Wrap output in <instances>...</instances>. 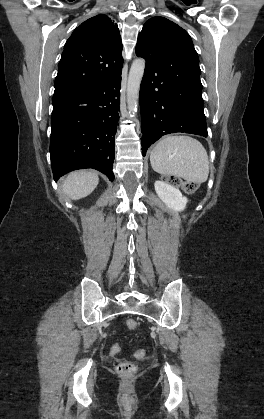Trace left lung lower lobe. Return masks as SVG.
I'll list each match as a JSON object with an SVG mask.
<instances>
[{
	"label": "left lung lower lobe",
	"instance_id": "1",
	"mask_svg": "<svg viewBox=\"0 0 264 419\" xmlns=\"http://www.w3.org/2000/svg\"><path fill=\"white\" fill-rule=\"evenodd\" d=\"M136 54L146 60L139 95L143 156L166 134L184 132L207 137L201 82L164 76L154 49Z\"/></svg>",
	"mask_w": 264,
	"mask_h": 419
}]
</instances>
